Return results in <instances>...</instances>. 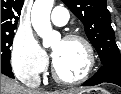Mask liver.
<instances>
[{
  "label": "liver",
  "mask_w": 121,
  "mask_h": 94,
  "mask_svg": "<svg viewBox=\"0 0 121 94\" xmlns=\"http://www.w3.org/2000/svg\"><path fill=\"white\" fill-rule=\"evenodd\" d=\"M1 94H78V91H42L39 89H30L1 74Z\"/></svg>",
  "instance_id": "obj_1"
}]
</instances>
